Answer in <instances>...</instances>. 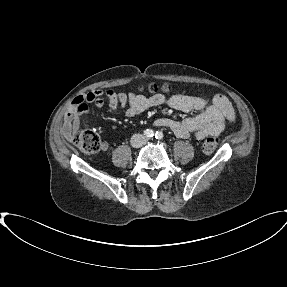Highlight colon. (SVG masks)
<instances>
[{"instance_id": "obj_1", "label": "colon", "mask_w": 287, "mask_h": 287, "mask_svg": "<svg viewBox=\"0 0 287 287\" xmlns=\"http://www.w3.org/2000/svg\"><path fill=\"white\" fill-rule=\"evenodd\" d=\"M172 88L168 84L158 86L156 84H151L148 86V91L151 93H157L162 91L164 93L171 92ZM73 142L77 145L83 152L91 154L100 150L101 143L100 139L96 133L92 131H80L76 133L73 137ZM218 144V140L214 137L207 138L203 144V151L207 154L214 152Z\"/></svg>"}]
</instances>
